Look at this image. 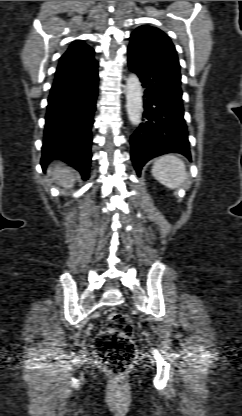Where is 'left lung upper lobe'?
<instances>
[{
  "label": "left lung upper lobe",
  "instance_id": "5c2ea615",
  "mask_svg": "<svg viewBox=\"0 0 242 416\" xmlns=\"http://www.w3.org/2000/svg\"><path fill=\"white\" fill-rule=\"evenodd\" d=\"M131 35L140 36L146 40L157 44L159 47L164 49L167 54L170 56L172 62L175 64L176 68L180 71V65L177 57V52L175 47L169 37L159 30L158 28L143 25L138 27Z\"/></svg>",
  "mask_w": 242,
  "mask_h": 416
}]
</instances>
